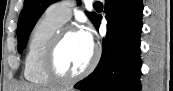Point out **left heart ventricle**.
<instances>
[{
	"mask_svg": "<svg viewBox=\"0 0 173 91\" xmlns=\"http://www.w3.org/2000/svg\"><path fill=\"white\" fill-rule=\"evenodd\" d=\"M92 52V46L85 42L80 32L68 34L57 52V70L66 75L81 72L89 64Z\"/></svg>",
	"mask_w": 173,
	"mask_h": 91,
	"instance_id": "1",
	"label": "left heart ventricle"
}]
</instances>
